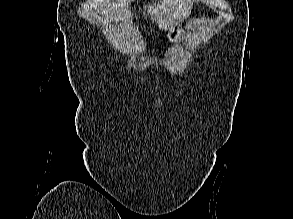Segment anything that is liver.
<instances>
[{"mask_svg":"<svg viewBox=\"0 0 293 219\" xmlns=\"http://www.w3.org/2000/svg\"><path fill=\"white\" fill-rule=\"evenodd\" d=\"M195 0H161L148 6V15L154 17L161 30H168L179 21L186 18ZM146 9V6H144ZM131 12L124 7L119 0L115 4H107L102 8L101 16H97L98 22L102 23L104 33L108 41L116 49L129 52L134 48L137 35L140 34L138 27L133 28L130 20ZM122 20V23L118 24Z\"/></svg>","mask_w":293,"mask_h":219,"instance_id":"6515ba94","label":"liver"}]
</instances>
